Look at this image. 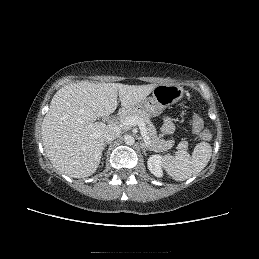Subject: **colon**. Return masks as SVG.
<instances>
[{"label":"colon","mask_w":259,"mask_h":259,"mask_svg":"<svg viewBox=\"0 0 259 259\" xmlns=\"http://www.w3.org/2000/svg\"><path fill=\"white\" fill-rule=\"evenodd\" d=\"M192 127L195 133H197L202 140L209 141L211 138L210 132L206 129L202 118L198 115H194L192 118Z\"/></svg>","instance_id":"5ec220e1"}]
</instances>
